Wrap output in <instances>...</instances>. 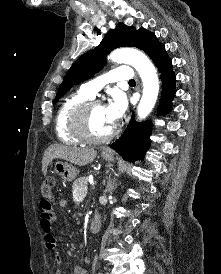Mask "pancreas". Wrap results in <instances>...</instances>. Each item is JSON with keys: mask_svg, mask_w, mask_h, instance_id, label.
Masks as SVG:
<instances>
[{"mask_svg": "<svg viewBox=\"0 0 221 274\" xmlns=\"http://www.w3.org/2000/svg\"><path fill=\"white\" fill-rule=\"evenodd\" d=\"M88 177H81L74 181L72 189L73 192L81 193L82 190L87 187Z\"/></svg>", "mask_w": 221, "mask_h": 274, "instance_id": "pancreas-1", "label": "pancreas"}]
</instances>
